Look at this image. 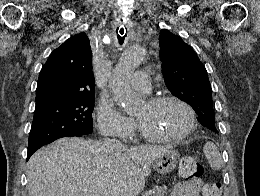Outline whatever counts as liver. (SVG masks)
Instances as JSON below:
<instances>
[{
  "label": "liver",
  "instance_id": "obj_1",
  "mask_svg": "<svg viewBox=\"0 0 260 196\" xmlns=\"http://www.w3.org/2000/svg\"><path fill=\"white\" fill-rule=\"evenodd\" d=\"M174 146H132L112 152L102 142L60 138L27 164L29 196H139L151 164Z\"/></svg>",
  "mask_w": 260,
  "mask_h": 196
}]
</instances>
